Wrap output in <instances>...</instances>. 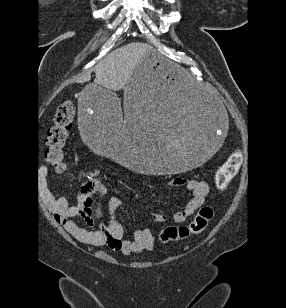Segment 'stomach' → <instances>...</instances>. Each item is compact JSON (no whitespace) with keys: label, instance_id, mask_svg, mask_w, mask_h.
<instances>
[{"label":"stomach","instance_id":"obj_1","mask_svg":"<svg viewBox=\"0 0 286 308\" xmlns=\"http://www.w3.org/2000/svg\"><path fill=\"white\" fill-rule=\"evenodd\" d=\"M223 106L216 91L192 81L181 60L150 52L137 60L124 103L107 85L80 89L75 122L104 161L118 159L151 177H180L227 144Z\"/></svg>","mask_w":286,"mask_h":308}]
</instances>
